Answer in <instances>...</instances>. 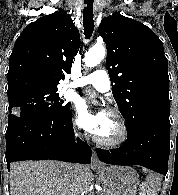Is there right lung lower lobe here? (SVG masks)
I'll return each instance as SVG.
<instances>
[{
  "mask_svg": "<svg viewBox=\"0 0 178 195\" xmlns=\"http://www.w3.org/2000/svg\"><path fill=\"white\" fill-rule=\"evenodd\" d=\"M53 159L89 164L91 148L74 132L70 111L59 115L20 112L9 115L6 131V161Z\"/></svg>",
  "mask_w": 178,
  "mask_h": 195,
  "instance_id": "1",
  "label": "right lung lower lobe"
}]
</instances>
